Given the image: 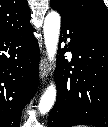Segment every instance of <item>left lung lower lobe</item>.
Masks as SVG:
<instances>
[{"mask_svg":"<svg viewBox=\"0 0 108 127\" xmlns=\"http://www.w3.org/2000/svg\"><path fill=\"white\" fill-rule=\"evenodd\" d=\"M51 7L61 14L60 43L71 41L58 50L57 99L48 127H108V31L76 18L59 4ZM68 50L73 54L69 64L64 57Z\"/></svg>","mask_w":108,"mask_h":127,"instance_id":"1","label":"left lung lower lobe"}]
</instances>
